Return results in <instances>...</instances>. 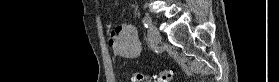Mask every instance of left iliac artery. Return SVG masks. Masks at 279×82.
I'll list each match as a JSON object with an SVG mask.
<instances>
[{
    "mask_svg": "<svg viewBox=\"0 0 279 82\" xmlns=\"http://www.w3.org/2000/svg\"><path fill=\"white\" fill-rule=\"evenodd\" d=\"M142 22H143L144 27L148 28L151 25L152 20H151V18L149 16H145L143 18Z\"/></svg>",
    "mask_w": 279,
    "mask_h": 82,
    "instance_id": "obj_1",
    "label": "left iliac artery"
}]
</instances>
